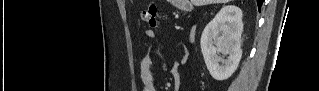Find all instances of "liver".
<instances>
[{"instance_id":"6515ba94","label":"liver","mask_w":319,"mask_h":91,"mask_svg":"<svg viewBox=\"0 0 319 91\" xmlns=\"http://www.w3.org/2000/svg\"><path fill=\"white\" fill-rule=\"evenodd\" d=\"M230 0H191L192 4L196 6H202L207 4L227 3Z\"/></svg>"}]
</instances>
